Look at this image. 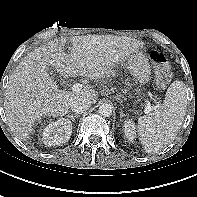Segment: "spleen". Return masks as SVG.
Returning a JSON list of instances; mask_svg holds the SVG:
<instances>
[{
    "instance_id": "1",
    "label": "spleen",
    "mask_w": 197,
    "mask_h": 197,
    "mask_svg": "<svg viewBox=\"0 0 197 197\" xmlns=\"http://www.w3.org/2000/svg\"><path fill=\"white\" fill-rule=\"evenodd\" d=\"M186 92L182 81H174L167 89L163 104L138 119L139 140L147 153L158 152L174 140L186 114Z\"/></svg>"
}]
</instances>
